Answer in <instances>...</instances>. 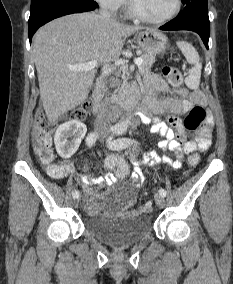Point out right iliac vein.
<instances>
[{
    "mask_svg": "<svg viewBox=\"0 0 233 284\" xmlns=\"http://www.w3.org/2000/svg\"><path fill=\"white\" fill-rule=\"evenodd\" d=\"M79 204V197L78 198H74V205L77 207Z\"/></svg>",
    "mask_w": 233,
    "mask_h": 284,
    "instance_id": "63e3f726",
    "label": "right iliac vein"
}]
</instances>
